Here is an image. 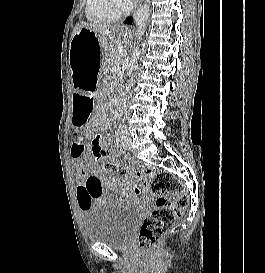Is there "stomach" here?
Returning a JSON list of instances; mask_svg holds the SVG:
<instances>
[{"instance_id":"obj_1","label":"stomach","mask_w":265,"mask_h":273,"mask_svg":"<svg viewBox=\"0 0 265 273\" xmlns=\"http://www.w3.org/2000/svg\"><path fill=\"white\" fill-rule=\"evenodd\" d=\"M128 34L127 30H120L119 37ZM104 49H130V44H107L93 31L82 28L71 39L69 58L72 79L76 95H86L91 90H98L100 80H84L85 78H106L103 68H99Z\"/></svg>"}]
</instances>
